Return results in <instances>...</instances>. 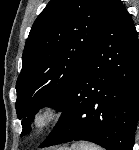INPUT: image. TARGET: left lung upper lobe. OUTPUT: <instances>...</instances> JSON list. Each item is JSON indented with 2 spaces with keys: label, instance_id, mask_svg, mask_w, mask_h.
<instances>
[{
  "label": "left lung upper lobe",
  "instance_id": "5c2ea615",
  "mask_svg": "<svg viewBox=\"0 0 139 150\" xmlns=\"http://www.w3.org/2000/svg\"><path fill=\"white\" fill-rule=\"evenodd\" d=\"M115 0H51L27 38L16 83L21 136L43 106L60 109L100 36Z\"/></svg>",
  "mask_w": 139,
  "mask_h": 150
}]
</instances>
